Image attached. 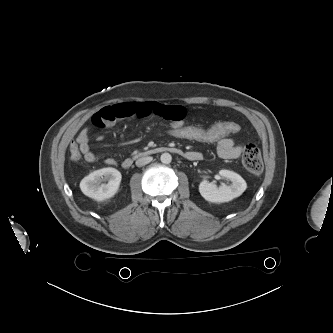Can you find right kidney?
I'll return each instance as SVG.
<instances>
[{"mask_svg":"<svg viewBox=\"0 0 333 333\" xmlns=\"http://www.w3.org/2000/svg\"><path fill=\"white\" fill-rule=\"evenodd\" d=\"M121 173L111 167L93 171L80 182V189L86 196L97 201L113 197L121 183ZM105 181L107 183H101Z\"/></svg>","mask_w":333,"mask_h":333,"instance_id":"ca27d5eb","label":"right kidney"}]
</instances>
